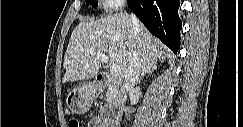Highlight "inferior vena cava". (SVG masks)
<instances>
[{
    "instance_id": "1",
    "label": "inferior vena cava",
    "mask_w": 243,
    "mask_h": 127,
    "mask_svg": "<svg viewBox=\"0 0 243 127\" xmlns=\"http://www.w3.org/2000/svg\"><path fill=\"white\" fill-rule=\"evenodd\" d=\"M133 27L136 31L139 30L140 23L137 19V17L132 13L130 15ZM138 39H136L135 44L133 46V54L132 59L130 61V64L128 66V69L124 76V88L128 91H131L134 89V86L136 82H138L139 76L144 69L142 66V60H141V50L138 46Z\"/></svg>"
}]
</instances>
